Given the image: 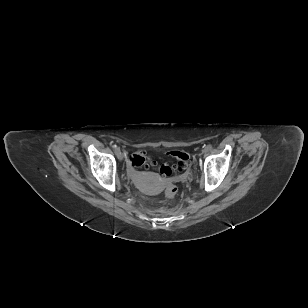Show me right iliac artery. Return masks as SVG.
I'll use <instances>...</instances> for the list:
<instances>
[{"mask_svg":"<svg viewBox=\"0 0 308 308\" xmlns=\"http://www.w3.org/2000/svg\"><path fill=\"white\" fill-rule=\"evenodd\" d=\"M115 152L119 149L116 145H113Z\"/></svg>","mask_w":308,"mask_h":308,"instance_id":"obj_1","label":"right iliac artery"}]
</instances>
